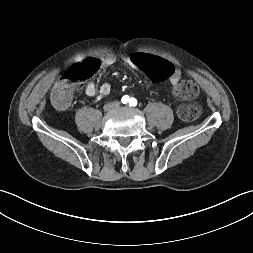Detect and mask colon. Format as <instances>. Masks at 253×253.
Here are the masks:
<instances>
[{"mask_svg": "<svg viewBox=\"0 0 253 253\" xmlns=\"http://www.w3.org/2000/svg\"><path fill=\"white\" fill-rule=\"evenodd\" d=\"M133 62L140 70H145L152 80H159L173 72L171 64L161 61L153 53L136 52L133 55ZM100 65L99 60L90 59L78 63L66 71L52 90L54 104L59 108L67 107L71 100L73 84L94 76L99 70ZM174 91L179 97L190 99L197 95L198 87L190 80H182L174 87ZM178 114L184 121H194L200 116L201 108L195 103L184 104L179 107Z\"/></svg>", "mask_w": 253, "mask_h": 253, "instance_id": "1", "label": "colon"}]
</instances>
